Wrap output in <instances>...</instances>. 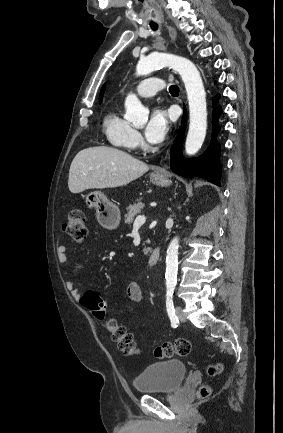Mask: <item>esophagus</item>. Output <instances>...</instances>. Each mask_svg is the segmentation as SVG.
<instances>
[{"mask_svg": "<svg viewBox=\"0 0 283 433\" xmlns=\"http://www.w3.org/2000/svg\"><path fill=\"white\" fill-rule=\"evenodd\" d=\"M167 28H168V32H169V35L171 37V40L173 42H175L176 41V30L173 27H171V26H168ZM166 168L167 167L157 168L156 171H158V172H164V171H166Z\"/></svg>", "mask_w": 283, "mask_h": 433, "instance_id": "obj_1", "label": "esophagus"}]
</instances>
